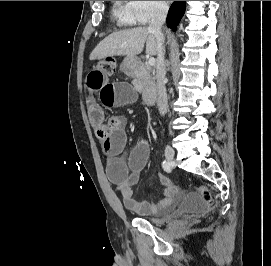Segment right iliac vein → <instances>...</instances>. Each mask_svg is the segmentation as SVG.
<instances>
[{"mask_svg":"<svg viewBox=\"0 0 271 266\" xmlns=\"http://www.w3.org/2000/svg\"><path fill=\"white\" fill-rule=\"evenodd\" d=\"M164 154L165 157L169 160V161H173L174 157H175V151L173 150V148H171L170 146H166L165 150H164Z\"/></svg>","mask_w":271,"mask_h":266,"instance_id":"1","label":"right iliac vein"}]
</instances>
